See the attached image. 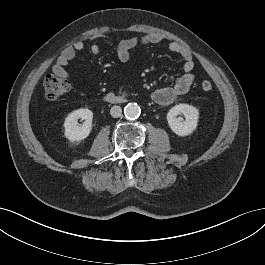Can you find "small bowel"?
Returning <instances> with one entry per match:
<instances>
[{
    "mask_svg": "<svg viewBox=\"0 0 265 265\" xmlns=\"http://www.w3.org/2000/svg\"><path fill=\"white\" fill-rule=\"evenodd\" d=\"M104 34H95L91 36L90 40L93 42L90 46V52L94 56L100 54V45L98 40L108 39ZM164 40L160 34H148L145 36H132L119 42L117 46V56L120 61L127 62L132 57L133 52L146 45L159 44ZM85 43L83 41H76L73 45L66 47L60 54L58 60L52 67V71L58 77L69 79L71 77L67 66L70 61L74 59L77 52L84 50ZM170 52L181 56L184 60L182 69L183 74L178 77L175 83L171 86L161 87L152 93V99L159 105H170L174 103L179 97L186 94L195 81L194 60L192 52L189 48L181 45L178 42L171 41L168 44Z\"/></svg>",
    "mask_w": 265,
    "mask_h": 265,
    "instance_id": "c3829d8e",
    "label": "small bowel"
}]
</instances>
